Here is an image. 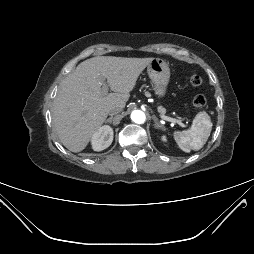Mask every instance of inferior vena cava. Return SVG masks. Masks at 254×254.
Returning <instances> with one entry per match:
<instances>
[{
  "label": "inferior vena cava",
  "instance_id": "inferior-vena-cava-1",
  "mask_svg": "<svg viewBox=\"0 0 254 254\" xmlns=\"http://www.w3.org/2000/svg\"><path fill=\"white\" fill-rule=\"evenodd\" d=\"M122 110H123L122 107H120V106H114V107L110 108L109 114L112 116V115L120 113Z\"/></svg>",
  "mask_w": 254,
  "mask_h": 254
}]
</instances>
